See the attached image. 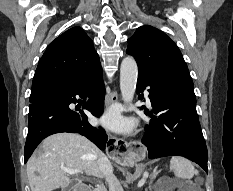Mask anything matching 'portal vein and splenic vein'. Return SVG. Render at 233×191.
<instances>
[{"mask_svg": "<svg viewBox=\"0 0 233 191\" xmlns=\"http://www.w3.org/2000/svg\"><path fill=\"white\" fill-rule=\"evenodd\" d=\"M64 172H66L67 174H78V173H83V171L78 170V169H70V168H66L65 166H61L60 167Z\"/></svg>", "mask_w": 233, "mask_h": 191, "instance_id": "1", "label": "portal vein and splenic vein"}]
</instances>
